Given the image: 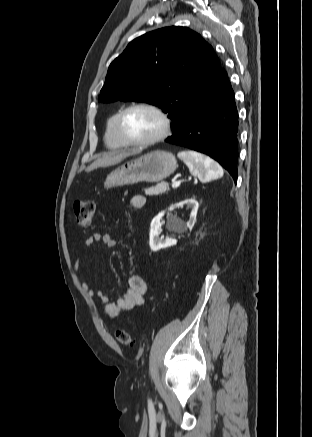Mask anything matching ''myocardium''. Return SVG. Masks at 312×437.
Listing matches in <instances>:
<instances>
[{"mask_svg": "<svg viewBox=\"0 0 312 437\" xmlns=\"http://www.w3.org/2000/svg\"><path fill=\"white\" fill-rule=\"evenodd\" d=\"M136 108L149 109L160 118L161 123H162V127H161V130L158 134H156L155 136H153L151 138L144 139V140H135V139L130 138L126 134V132L124 131V128H123L124 118L131 110L136 109ZM170 128H171V122H170V119L167 116V114L161 108H159L157 105H155L153 103H149V102H136V103L128 105L127 107H125L123 110L120 111V113L117 117V121H116V130H117L118 135L120 136V138L123 140L124 143H126L127 145H131V146H149V145L156 144V143L164 140L169 135Z\"/></svg>", "mask_w": 312, "mask_h": 437, "instance_id": "f54148a6", "label": "myocardium"}]
</instances>
